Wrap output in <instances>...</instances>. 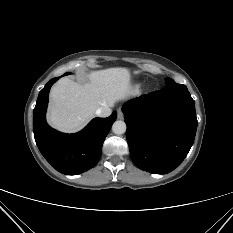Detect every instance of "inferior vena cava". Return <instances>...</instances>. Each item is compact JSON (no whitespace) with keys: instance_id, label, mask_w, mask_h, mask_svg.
Returning <instances> with one entry per match:
<instances>
[{"instance_id":"602c4592","label":"inferior vena cava","mask_w":233,"mask_h":233,"mask_svg":"<svg viewBox=\"0 0 233 233\" xmlns=\"http://www.w3.org/2000/svg\"><path fill=\"white\" fill-rule=\"evenodd\" d=\"M112 113V110L109 106L105 105L102 107H99L96 111L95 114L99 117H108Z\"/></svg>"}]
</instances>
